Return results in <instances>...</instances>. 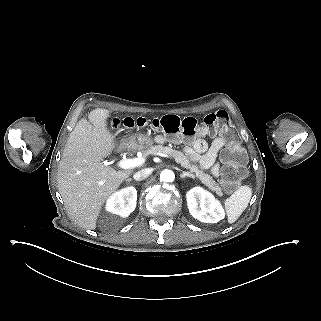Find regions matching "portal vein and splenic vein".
<instances>
[{
	"label": "portal vein and splenic vein",
	"mask_w": 321,
	"mask_h": 321,
	"mask_svg": "<svg viewBox=\"0 0 321 321\" xmlns=\"http://www.w3.org/2000/svg\"><path fill=\"white\" fill-rule=\"evenodd\" d=\"M151 155H158L161 157H166L169 158V155L167 153H158V152H151ZM143 162V160L140 159H122L117 162V166L122 169H127V168H133L138 165H140Z\"/></svg>",
	"instance_id": "portal-vein-and-splenic-vein-1"
}]
</instances>
